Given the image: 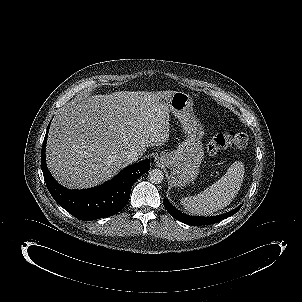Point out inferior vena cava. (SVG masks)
<instances>
[{
  "mask_svg": "<svg viewBox=\"0 0 302 302\" xmlns=\"http://www.w3.org/2000/svg\"><path fill=\"white\" fill-rule=\"evenodd\" d=\"M141 157V154L135 150L129 151L125 155V160L128 164L136 162Z\"/></svg>",
  "mask_w": 302,
  "mask_h": 302,
  "instance_id": "obj_1",
  "label": "inferior vena cava"
}]
</instances>
